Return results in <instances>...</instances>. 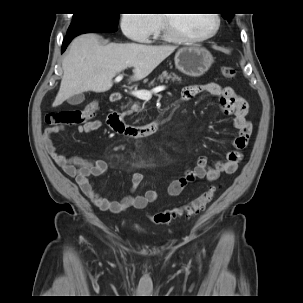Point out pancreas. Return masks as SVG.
<instances>
[{
	"label": "pancreas",
	"instance_id": "obj_1",
	"mask_svg": "<svg viewBox=\"0 0 303 303\" xmlns=\"http://www.w3.org/2000/svg\"><path fill=\"white\" fill-rule=\"evenodd\" d=\"M170 77L172 81H179L181 82V77H179L178 75H176L175 73H167V72H163L161 75H159L158 79L162 82L164 78L167 79V77ZM152 81L150 83V85H153ZM127 107H129V109L125 112L126 114L130 115L133 112H139L141 111L140 107H139V103L137 102H133L132 100L129 101V103L127 104Z\"/></svg>",
	"mask_w": 303,
	"mask_h": 303
}]
</instances>
